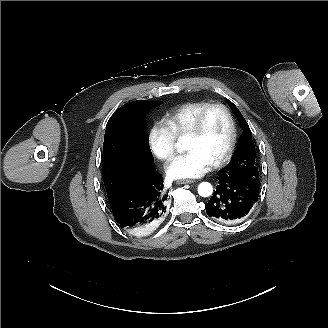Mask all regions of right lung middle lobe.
Returning a JSON list of instances; mask_svg holds the SVG:
<instances>
[{
	"instance_id": "1",
	"label": "right lung middle lobe",
	"mask_w": 328,
	"mask_h": 328,
	"mask_svg": "<svg viewBox=\"0 0 328 328\" xmlns=\"http://www.w3.org/2000/svg\"><path fill=\"white\" fill-rule=\"evenodd\" d=\"M159 103L146 100L127 103L107 123L102 178L110 203L130 181L146 179L155 167L143 115L148 108Z\"/></svg>"
}]
</instances>
